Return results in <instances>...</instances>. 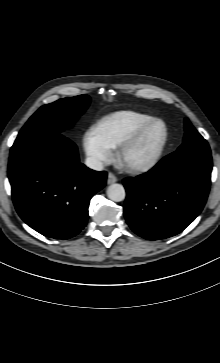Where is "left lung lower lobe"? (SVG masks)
I'll return each mask as SVG.
<instances>
[{"instance_id": "0a47b994", "label": "left lung lower lobe", "mask_w": 220, "mask_h": 363, "mask_svg": "<svg viewBox=\"0 0 220 363\" xmlns=\"http://www.w3.org/2000/svg\"><path fill=\"white\" fill-rule=\"evenodd\" d=\"M210 148L185 147L136 178L124 179V214L139 236L158 240L183 231L202 211L210 188Z\"/></svg>"}]
</instances>
